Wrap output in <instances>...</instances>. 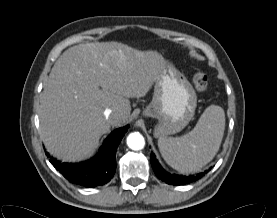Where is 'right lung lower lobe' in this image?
I'll return each mask as SVG.
<instances>
[{"instance_id": "right-lung-lower-lobe-1", "label": "right lung lower lobe", "mask_w": 277, "mask_h": 218, "mask_svg": "<svg viewBox=\"0 0 277 218\" xmlns=\"http://www.w3.org/2000/svg\"><path fill=\"white\" fill-rule=\"evenodd\" d=\"M127 126L114 130L104 141L100 151L92 160L67 164L50 157L53 166L71 183L85 187L104 185L113 177L116 170V147L123 138ZM47 156L48 153H46Z\"/></svg>"}]
</instances>
